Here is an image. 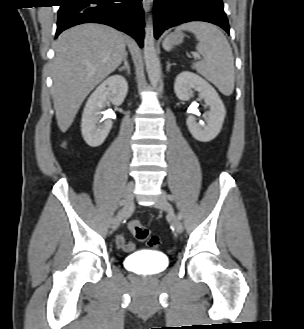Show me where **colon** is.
<instances>
[{
  "mask_svg": "<svg viewBox=\"0 0 304 329\" xmlns=\"http://www.w3.org/2000/svg\"><path fill=\"white\" fill-rule=\"evenodd\" d=\"M128 230L136 240L146 242L151 247H156L159 244V238L151 235L150 231L138 220H130Z\"/></svg>",
  "mask_w": 304,
  "mask_h": 329,
  "instance_id": "1",
  "label": "colon"
}]
</instances>
